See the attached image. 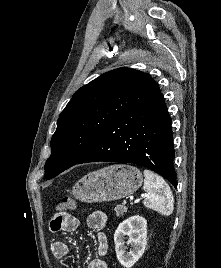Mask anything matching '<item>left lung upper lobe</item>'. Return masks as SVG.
<instances>
[{
	"instance_id": "1",
	"label": "left lung upper lobe",
	"mask_w": 221,
	"mask_h": 268,
	"mask_svg": "<svg viewBox=\"0 0 221 268\" xmlns=\"http://www.w3.org/2000/svg\"><path fill=\"white\" fill-rule=\"evenodd\" d=\"M159 93L150 75L126 67L104 73L81 87L57 121L45 179L78 163L117 118Z\"/></svg>"
}]
</instances>
